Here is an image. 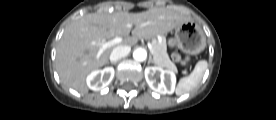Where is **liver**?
Listing matches in <instances>:
<instances>
[{
	"mask_svg": "<svg viewBox=\"0 0 276 120\" xmlns=\"http://www.w3.org/2000/svg\"><path fill=\"white\" fill-rule=\"evenodd\" d=\"M190 18L170 7H155L140 13H90L66 27L57 47L56 68L62 83L86 94V76L109 62L113 46L99 57L97 43L126 37L121 45L133 46L140 38L164 35ZM132 31V37L129 33Z\"/></svg>",
	"mask_w": 276,
	"mask_h": 120,
	"instance_id": "6515ba94",
	"label": "liver"
}]
</instances>
